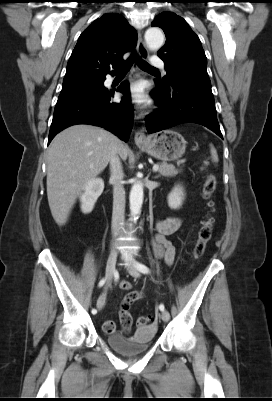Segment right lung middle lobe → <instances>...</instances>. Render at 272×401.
<instances>
[{
	"label": "right lung middle lobe",
	"instance_id": "1",
	"mask_svg": "<svg viewBox=\"0 0 272 401\" xmlns=\"http://www.w3.org/2000/svg\"><path fill=\"white\" fill-rule=\"evenodd\" d=\"M104 80L90 83L74 89L62 90L58 100L86 91H100L104 90Z\"/></svg>",
	"mask_w": 272,
	"mask_h": 401
}]
</instances>
